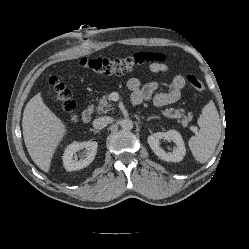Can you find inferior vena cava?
<instances>
[{"label": "inferior vena cava", "mask_w": 249, "mask_h": 249, "mask_svg": "<svg viewBox=\"0 0 249 249\" xmlns=\"http://www.w3.org/2000/svg\"><path fill=\"white\" fill-rule=\"evenodd\" d=\"M110 121V117L104 116V117H99L93 121V127L95 129H103L105 128Z\"/></svg>", "instance_id": "inferior-vena-cava-1"}]
</instances>
